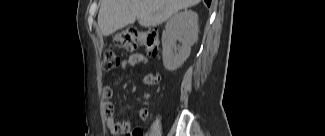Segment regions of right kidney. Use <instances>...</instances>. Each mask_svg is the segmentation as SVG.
<instances>
[{
  "label": "right kidney",
  "instance_id": "ca27d5eb",
  "mask_svg": "<svg viewBox=\"0 0 325 136\" xmlns=\"http://www.w3.org/2000/svg\"><path fill=\"white\" fill-rule=\"evenodd\" d=\"M198 15L191 10L174 14L166 23L162 33L163 65L168 71L177 70L191 52L198 39ZM182 45L176 47V41Z\"/></svg>",
  "mask_w": 325,
  "mask_h": 136
}]
</instances>
